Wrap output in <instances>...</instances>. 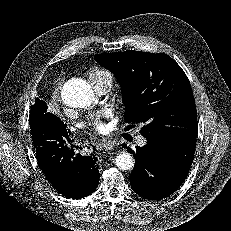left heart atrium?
<instances>
[{
  "label": "left heart atrium",
  "instance_id": "obj_1",
  "mask_svg": "<svg viewBox=\"0 0 231 231\" xmlns=\"http://www.w3.org/2000/svg\"><path fill=\"white\" fill-rule=\"evenodd\" d=\"M109 117L108 113H102L95 118H93L89 126L93 128L95 131L100 132V133H105L109 129L107 123L104 122L103 118Z\"/></svg>",
  "mask_w": 231,
  "mask_h": 231
}]
</instances>
